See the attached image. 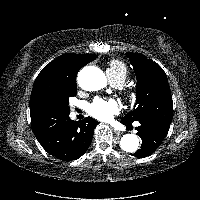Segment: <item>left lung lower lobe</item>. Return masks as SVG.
Instances as JSON below:
<instances>
[{
	"label": "left lung lower lobe",
	"instance_id": "0a47b994",
	"mask_svg": "<svg viewBox=\"0 0 200 200\" xmlns=\"http://www.w3.org/2000/svg\"><path fill=\"white\" fill-rule=\"evenodd\" d=\"M122 124L130 125L131 122L121 120ZM140 126L136 127L138 135L142 139L141 148L133 155L144 158L153 153L163 142L168 134L170 122L157 121L152 118L139 120Z\"/></svg>",
	"mask_w": 200,
	"mask_h": 200
}]
</instances>
